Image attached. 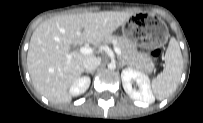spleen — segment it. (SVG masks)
Segmentation results:
<instances>
[{"mask_svg":"<svg viewBox=\"0 0 203 123\" xmlns=\"http://www.w3.org/2000/svg\"><path fill=\"white\" fill-rule=\"evenodd\" d=\"M183 70V59L180 47L174 38H171L165 54L163 71L152 80V91L158 100L172 95L179 84Z\"/></svg>","mask_w":203,"mask_h":123,"instance_id":"spleen-1","label":"spleen"}]
</instances>
